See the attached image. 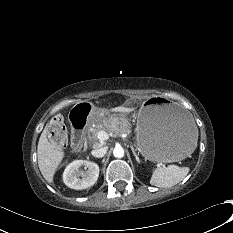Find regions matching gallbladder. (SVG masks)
<instances>
[{
  "mask_svg": "<svg viewBox=\"0 0 233 233\" xmlns=\"http://www.w3.org/2000/svg\"><path fill=\"white\" fill-rule=\"evenodd\" d=\"M65 135L66 133L64 131L59 132V137H63V139H65Z\"/></svg>",
  "mask_w": 233,
  "mask_h": 233,
  "instance_id": "obj_1",
  "label": "gallbladder"
}]
</instances>
